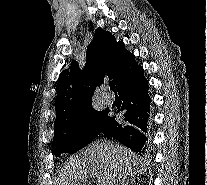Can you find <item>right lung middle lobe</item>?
Segmentation results:
<instances>
[{
    "mask_svg": "<svg viewBox=\"0 0 207 185\" xmlns=\"http://www.w3.org/2000/svg\"><path fill=\"white\" fill-rule=\"evenodd\" d=\"M109 113L108 108L103 111L92 110L56 127L52 144L54 155L73 154L87 146L111 120Z\"/></svg>",
    "mask_w": 207,
    "mask_h": 185,
    "instance_id": "obj_1",
    "label": "right lung middle lobe"
}]
</instances>
